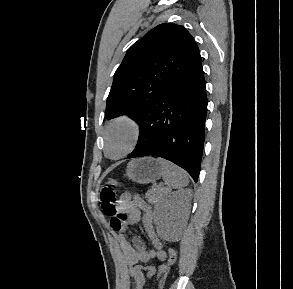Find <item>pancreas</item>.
Here are the masks:
<instances>
[{
  "mask_svg": "<svg viewBox=\"0 0 293 289\" xmlns=\"http://www.w3.org/2000/svg\"><path fill=\"white\" fill-rule=\"evenodd\" d=\"M167 192L162 188H152L147 191L145 198L151 204H157L165 198Z\"/></svg>",
  "mask_w": 293,
  "mask_h": 289,
  "instance_id": "pancreas-1",
  "label": "pancreas"
}]
</instances>
